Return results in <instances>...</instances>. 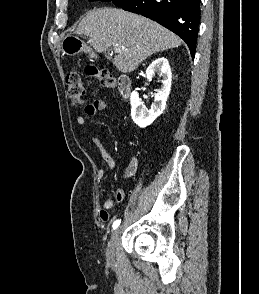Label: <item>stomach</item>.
<instances>
[{"instance_id": "obj_1", "label": "stomach", "mask_w": 259, "mask_h": 294, "mask_svg": "<svg viewBox=\"0 0 259 294\" xmlns=\"http://www.w3.org/2000/svg\"><path fill=\"white\" fill-rule=\"evenodd\" d=\"M61 50L66 55H76L82 51L91 53L90 48L75 34H67L61 42Z\"/></svg>"}]
</instances>
